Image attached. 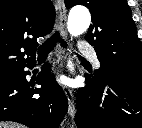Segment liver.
<instances>
[{"label": "liver", "instance_id": "liver-1", "mask_svg": "<svg viewBox=\"0 0 142 128\" xmlns=\"http://www.w3.org/2000/svg\"><path fill=\"white\" fill-rule=\"evenodd\" d=\"M0 128H24L22 125L15 123L0 122Z\"/></svg>", "mask_w": 142, "mask_h": 128}]
</instances>
